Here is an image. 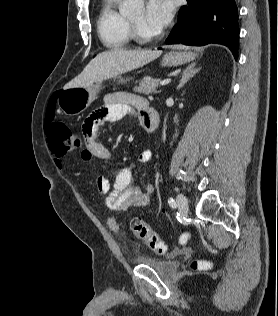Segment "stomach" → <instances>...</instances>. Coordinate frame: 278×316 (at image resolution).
Instances as JSON below:
<instances>
[{"instance_id": "stomach-1", "label": "stomach", "mask_w": 278, "mask_h": 316, "mask_svg": "<svg viewBox=\"0 0 278 316\" xmlns=\"http://www.w3.org/2000/svg\"><path fill=\"white\" fill-rule=\"evenodd\" d=\"M192 52H170L162 60L164 66H178L188 63L196 58ZM101 89V83L87 87H74L63 89L58 95V106L62 112L69 116H75L86 110L97 97Z\"/></svg>"}]
</instances>
